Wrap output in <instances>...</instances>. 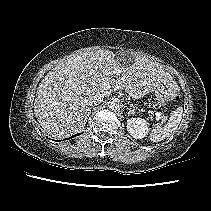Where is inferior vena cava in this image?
<instances>
[{
    "instance_id": "inferior-vena-cava-1",
    "label": "inferior vena cava",
    "mask_w": 211,
    "mask_h": 211,
    "mask_svg": "<svg viewBox=\"0 0 211 211\" xmlns=\"http://www.w3.org/2000/svg\"><path fill=\"white\" fill-rule=\"evenodd\" d=\"M104 96L105 95L102 93H97V94L90 96L89 100H88V105L95 106L97 104H100L103 101Z\"/></svg>"
}]
</instances>
